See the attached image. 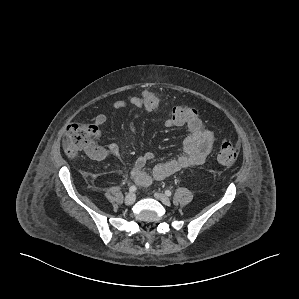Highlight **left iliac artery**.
<instances>
[{
  "label": "left iliac artery",
  "mask_w": 299,
  "mask_h": 299,
  "mask_svg": "<svg viewBox=\"0 0 299 299\" xmlns=\"http://www.w3.org/2000/svg\"><path fill=\"white\" fill-rule=\"evenodd\" d=\"M165 194H166L167 196H171V195H172V193H171L170 190H166V191H165Z\"/></svg>",
  "instance_id": "obj_1"
}]
</instances>
